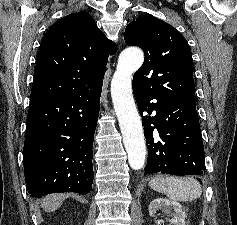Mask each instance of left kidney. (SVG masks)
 <instances>
[{
	"label": "left kidney",
	"mask_w": 237,
	"mask_h": 225,
	"mask_svg": "<svg viewBox=\"0 0 237 225\" xmlns=\"http://www.w3.org/2000/svg\"><path fill=\"white\" fill-rule=\"evenodd\" d=\"M173 209V212L171 210ZM158 210L166 212L171 218H166L169 225H185V211L181 204L175 201H170L165 198H157L149 205L150 216L155 217Z\"/></svg>",
	"instance_id": "left-kidney-1"
}]
</instances>
